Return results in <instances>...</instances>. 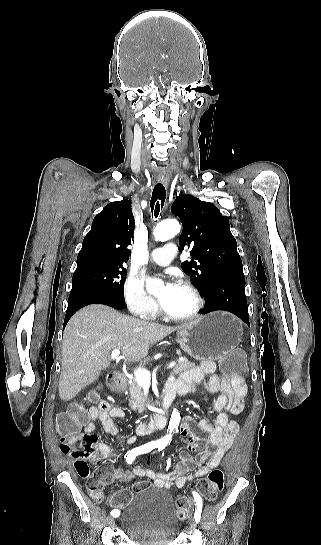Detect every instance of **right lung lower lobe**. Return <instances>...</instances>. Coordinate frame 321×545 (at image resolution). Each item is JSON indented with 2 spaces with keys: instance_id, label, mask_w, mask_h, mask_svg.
<instances>
[{
  "instance_id": "1",
  "label": "right lung lower lobe",
  "mask_w": 321,
  "mask_h": 545,
  "mask_svg": "<svg viewBox=\"0 0 321 545\" xmlns=\"http://www.w3.org/2000/svg\"><path fill=\"white\" fill-rule=\"evenodd\" d=\"M89 304H104L115 309L126 308L124 297H117L115 295L97 290H76L70 293L64 326H66L69 319L77 310Z\"/></svg>"
}]
</instances>
